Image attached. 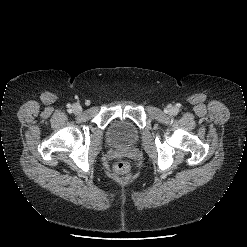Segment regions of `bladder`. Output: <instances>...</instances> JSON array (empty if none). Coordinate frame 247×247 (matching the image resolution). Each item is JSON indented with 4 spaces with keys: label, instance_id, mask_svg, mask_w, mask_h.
<instances>
[{
    "label": "bladder",
    "instance_id": "bladder-1",
    "mask_svg": "<svg viewBox=\"0 0 247 247\" xmlns=\"http://www.w3.org/2000/svg\"><path fill=\"white\" fill-rule=\"evenodd\" d=\"M139 138L138 128L128 120H115L107 130V140L112 145L130 146Z\"/></svg>",
    "mask_w": 247,
    "mask_h": 247
}]
</instances>
